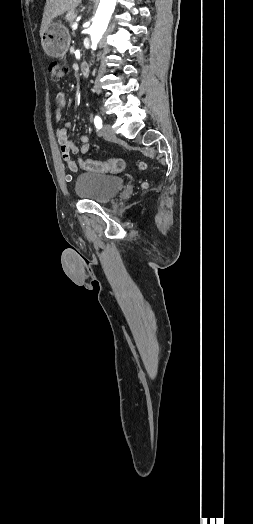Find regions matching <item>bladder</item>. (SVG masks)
Wrapping results in <instances>:
<instances>
[{"mask_svg": "<svg viewBox=\"0 0 253 524\" xmlns=\"http://www.w3.org/2000/svg\"><path fill=\"white\" fill-rule=\"evenodd\" d=\"M120 176L100 173H81L75 180V193L84 200L106 204L124 187Z\"/></svg>", "mask_w": 253, "mask_h": 524, "instance_id": "1", "label": "bladder"}]
</instances>
